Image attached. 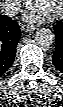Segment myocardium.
Returning <instances> with one entry per match:
<instances>
[{
  "label": "myocardium",
  "instance_id": "f54148a6",
  "mask_svg": "<svg viewBox=\"0 0 63 107\" xmlns=\"http://www.w3.org/2000/svg\"><path fill=\"white\" fill-rule=\"evenodd\" d=\"M62 10H63V1L60 2L59 8L51 14V17L56 18V17L60 16L62 13Z\"/></svg>",
  "mask_w": 63,
  "mask_h": 107
}]
</instances>
